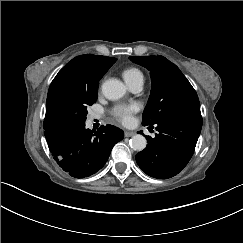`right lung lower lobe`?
<instances>
[{
	"mask_svg": "<svg viewBox=\"0 0 243 243\" xmlns=\"http://www.w3.org/2000/svg\"><path fill=\"white\" fill-rule=\"evenodd\" d=\"M45 137L60 167L72 177L84 178L105 165L124 133L112 125L101 126L96 132L86 129L85 122H71L45 129Z\"/></svg>",
	"mask_w": 243,
	"mask_h": 243,
	"instance_id": "98d812e1",
	"label": "right lung lower lobe"
}]
</instances>
